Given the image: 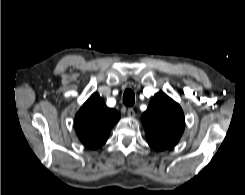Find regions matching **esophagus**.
I'll use <instances>...</instances> for the list:
<instances>
[{
  "instance_id": "1",
  "label": "esophagus",
  "mask_w": 245,
  "mask_h": 195,
  "mask_svg": "<svg viewBox=\"0 0 245 195\" xmlns=\"http://www.w3.org/2000/svg\"><path fill=\"white\" fill-rule=\"evenodd\" d=\"M127 115L129 117H135V111H134V109L133 108H128Z\"/></svg>"
}]
</instances>
